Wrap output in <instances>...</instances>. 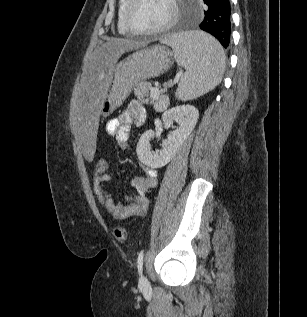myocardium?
Wrapping results in <instances>:
<instances>
[{"instance_id": "f54148a6", "label": "myocardium", "mask_w": 307, "mask_h": 317, "mask_svg": "<svg viewBox=\"0 0 307 317\" xmlns=\"http://www.w3.org/2000/svg\"><path fill=\"white\" fill-rule=\"evenodd\" d=\"M135 2L136 0H127V4L124 10V24L127 30L131 34L142 35V36H155L169 30L171 27H173L176 24L178 20L179 9H178L177 0H169L171 5V15L169 19L164 24L156 28L149 29V30H139L132 25L130 20V11Z\"/></svg>"}]
</instances>
